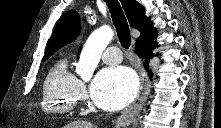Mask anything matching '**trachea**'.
<instances>
[{
    "label": "trachea",
    "mask_w": 221,
    "mask_h": 128,
    "mask_svg": "<svg viewBox=\"0 0 221 128\" xmlns=\"http://www.w3.org/2000/svg\"><path fill=\"white\" fill-rule=\"evenodd\" d=\"M122 47L128 49L131 44L129 25L117 0H105Z\"/></svg>",
    "instance_id": "1"
}]
</instances>
